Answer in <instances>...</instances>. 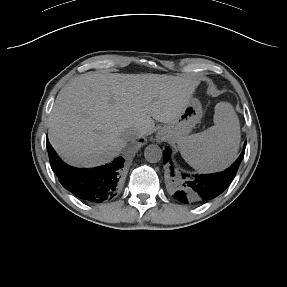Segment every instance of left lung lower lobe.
I'll return each instance as SVG.
<instances>
[{
  "instance_id": "left-lung-lower-lobe-1",
  "label": "left lung lower lobe",
  "mask_w": 287,
  "mask_h": 287,
  "mask_svg": "<svg viewBox=\"0 0 287 287\" xmlns=\"http://www.w3.org/2000/svg\"><path fill=\"white\" fill-rule=\"evenodd\" d=\"M246 145V143H245ZM244 145V146H245ZM245 150L237 161L223 172L210 175H198L194 179L186 181L173 180L170 182L169 190L173 197L182 203H200L215 198L221 194L233 180L239 165L244 157ZM171 163L170 150L165 148L163 163ZM171 175L174 176V169L171 167ZM185 179V175H183Z\"/></svg>"
}]
</instances>
